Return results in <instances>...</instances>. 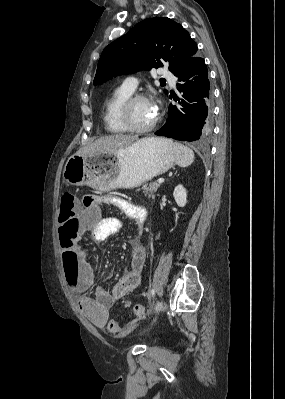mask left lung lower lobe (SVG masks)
<instances>
[{
    "label": "left lung lower lobe",
    "instance_id": "obj_1",
    "mask_svg": "<svg viewBox=\"0 0 285 399\" xmlns=\"http://www.w3.org/2000/svg\"><path fill=\"white\" fill-rule=\"evenodd\" d=\"M174 75L181 92L174 100L180 107L170 104L168 120L155 134L180 141L205 140L212 129V91L205 61L195 54Z\"/></svg>",
    "mask_w": 285,
    "mask_h": 399
}]
</instances>
